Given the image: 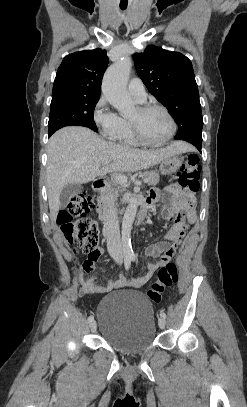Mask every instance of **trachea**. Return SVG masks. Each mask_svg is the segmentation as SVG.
<instances>
[{
  "label": "trachea",
  "mask_w": 247,
  "mask_h": 407,
  "mask_svg": "<svg viewBox=\"0 0 247 407\" xmlns=\"http://www.w3.org/2000/svg\"><path fill=\"white\" fill-rule=\"evenodd\" d=\"M127 8V6H120L121 10H125Z\"/></svg>",
  "instance_id": "trachea-1"
}]
</instances>
